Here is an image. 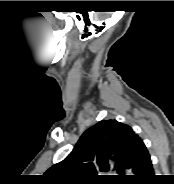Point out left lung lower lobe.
Here are the masks:
<instances>
[{"mask_svg":"<svg viewBox=\"0 0 174 184\" xmlns=\"http://www.w3.org/2000/svg\"><path fill=\"white\" fill-rule=\"evenodd\" d=\"M126 168H130L134 173V175L124 178L130 183L143 184L150 183L149 181L152 180L154 176L152 162L142 140L136 144Z\"/></svg>","mask_w":174,"mask_h":184,"instance_id":"0a47b994","label":"left lung lower lobe"}]
</instances>
